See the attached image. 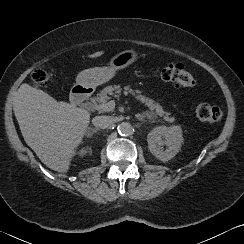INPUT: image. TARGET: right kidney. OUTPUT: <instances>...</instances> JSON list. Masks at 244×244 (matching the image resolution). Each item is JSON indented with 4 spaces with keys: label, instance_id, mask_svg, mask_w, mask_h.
Masks as SVG:
<instances>
[{
    "label": "right kidney",
    "instance_id": "1",
    "mask_svg": "<svg viewBox=\"0 0 244 244\" xmlns=\"http://www.w3.org/2000/svg\"><path fill=\"white\" fill-rule=\"evenodd\" d=\"M88 152H90L89 151V148H82L80 151H79V154H80V156H84V155H86Z\"/></svg>",
    "mask_w": 244,
    "mask_h": 244
}]
</instances>
